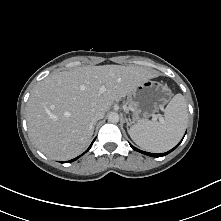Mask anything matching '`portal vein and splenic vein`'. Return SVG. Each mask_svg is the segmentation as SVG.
<instances>
[{"label": "portal vein and splenic vein", "mask_w": 221, "mask_h": 221, "mask_svg": "<svg viewBox=\"0 0 221 221\" xmlns=\"http://www.w3.org/2000/svg\"><path fill=\"white\" fill-rule=\"evenodd\" d=\"M105 90H106L105 87L102 86L99 91H100V93H103ZM157 117H158L159 119H162L161 116H157Z\"/></svg>", "instance_id": "18ae733b"}]
</instances>
